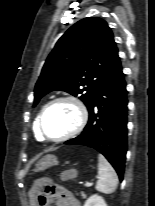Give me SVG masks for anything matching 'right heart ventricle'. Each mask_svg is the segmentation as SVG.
I'll return each instance as SVG.
<instances>
[{
  "label": "right heart ventricle",
  "instance_id": "e07e8e85",
  "mask_svg": "<svg viewBox=\"0 0 155 206\" xmlns=\"http://www.w3.org/2000/svg\"><path fill=\"white\" fill-rule=\"evenodd\" d=\"M40 112H41V111H40ZM40 112L37 114V116H36V118H35V121H34V125H33L35 137H36V139L39 140V141L43 140V139L40 137V135H39V133H38V130H37V122H38V117H39Z\"/></svg>",
  "mask_w": 155,
  "mask_h": 206
}]
</instances>
